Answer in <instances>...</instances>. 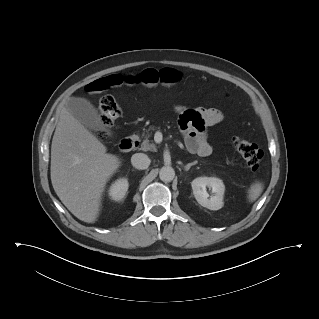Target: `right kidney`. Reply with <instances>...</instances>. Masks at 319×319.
Wrapping results in <instances>:
<instances>
[{
  "mask_svg": "<svg viewBox=\"0 0 319 319\" xmlns=\"http://www.w3.org/2000/svg\"><path fill=\"white\" fill-rule=\"evenodd\" d=\"M128 180L120 178L116 180L109 188V196L114 201H120L124 198L128 190Z\"/></svg>",
  "mask_w": 319,
  "mask_h": 319,
  "instance_id": "obj_1",
  "label": "right kidney"
}]
</instances>
